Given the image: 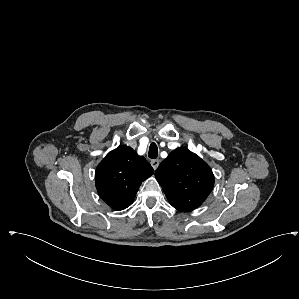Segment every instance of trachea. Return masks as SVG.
Segmentation results:
<instances>
[{
  "mask_svg": "<svg viewBox=\"0 0 299 299\" xmlns=\"http://www.w3.org/2000/svg\"><path fill=\"white\" fill-rule=\"evenodd\" d=\"M148 156L151 159L157 158V156H158V148H157V145L155 143H151L150 144Z\"/></svg>",
  "mask_w": 299,
  "mask_h": 299,
  "instance_id": "obj_1",
  "label": "trachea"
}]
</instances>
